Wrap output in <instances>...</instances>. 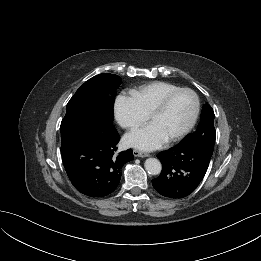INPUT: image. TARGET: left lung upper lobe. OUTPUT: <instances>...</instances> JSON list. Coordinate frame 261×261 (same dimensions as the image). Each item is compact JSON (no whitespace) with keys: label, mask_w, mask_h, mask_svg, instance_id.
Masks as SVG:
<instances>
[{"label":"left lung upper lobe","mask_w":261,"mask_h":261,"mask_svg":"<svg viewBox=\"0 0 261 261\" xmlns=\"http://www.w3.org/2000/svg\"><path fill=\"white\" fill-rule=\"evenodd\" d=\"M216 132L214 128V112L209 104L203 106L197 130L187 135L180 143L198 145L213 154Z\"/></svg>","instance_id":"left-lung-upper-lobe-1"}]
</instances>
